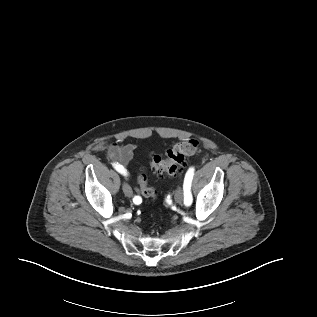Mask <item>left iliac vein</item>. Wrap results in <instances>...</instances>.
I'll return each mask as SVG.
<instances>
[{
    "mask_svg": "<svg viewBox=\"0 0 317 317\" xmlns=\"http://www.w3.org/2000/svg\"><path fill=\"white\" fill-rule=\"evenodd\" d=\"M174 198H175V201H176L178 204L183 203V201H184V195H183L181 189H178V190L176 191Z\"/></svg>",
    "mask_w": 317,
    "mask_h": 317,
    "instance_id": "obj_1",
    "label": "left iliac vein"
}]
</instances>
